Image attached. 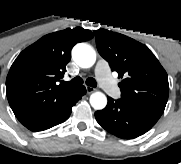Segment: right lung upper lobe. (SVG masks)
Segmentation results:
<instances>
[{
  "label": "right lung upper lobe",
  "instance_id": "right-lung-upper-lobe-1",
  "mask_svg": "<svg viewBox=\"0 0 181 164\" xmlns=\"http://www.w3.org/2000/svg\"><path fill=\"white\" fill-rule=\"evenodd\" d=\"M93 34L77 27L48 34L23 50L12 64L6 79V93L13 111L48 107L75 88L57 82L64 76L71 50Z\"/></svg>",
  "mask_w": 181,
  "mask_h": 164
}]
</instances>
